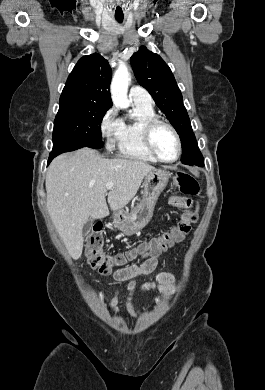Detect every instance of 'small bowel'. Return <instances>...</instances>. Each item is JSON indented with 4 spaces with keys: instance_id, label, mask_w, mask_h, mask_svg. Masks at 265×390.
<instances>
[{
    "instance_id": "obj_1",
    "label": "small bowel",
    "mask_w": 265,
    "mask_h": 390,
    "mask_svg": "<svg viewBox=\"0 0 265 390\" xmlns=\"http://www.w3.org/2000/svg\"><path fill=\"white\" fill-rule=\"evenodd\" d=\"M170 203L171 205L178 208H190L194 205L190 198L183 197V196H172L170 198ZM150 241L148 243H144L140 245L136 250L129 253L128 255L126 256L122 255V256L127 261V259L140 255L149 246ZM173 244L174 242L171 243L166 248H164L163 250L159 251L158 253L151 255L140 265L137 264L128 265L122 267L121 269L116 270L113 273V278L116 281L118 282L126 281L128 283L127 288L129 291V297L127 300V308L129 313L132 316L137 317L141 312V310L136 308L133 303V295L136 289V278L141 275H148L153 273L160 262L164 250L167 249L168 247L173 246ZM173 281H174V276L171 273L161 272L156 274L155 282H148L143 284L141 287V291L142 293H146L151 290H159L161 292L166 293L170 290ZM155 302H158V300H156ZM106 305L109 307V309L112 311L113 314L122 318L119 312V308L117 306V292H115V294L111 298L106 300Z\"/></svg>"
}]
</instances>
